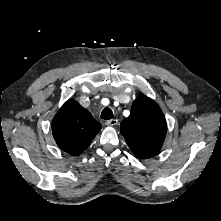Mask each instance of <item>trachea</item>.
<instances>
[{
  "label": "trachea",
  "mask_w": 221,
  "mask_h": 221,
  "mask_svg": "<svg viewBox=\"0 0 221 221\" xmlns=\"http://www.w3.org/2000/svg\"><path fill=\"white\" fill-rule=\"evenodd\" d=\"M101 118L104 120H110L113 118V112L110 108H104L101 112Z\"/></svg>",
  "instance_id": "1"
}]
</instances>
